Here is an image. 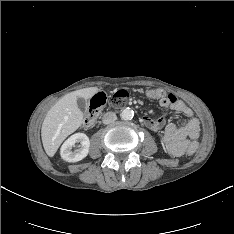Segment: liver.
Segmentation results:
<instances>
[{
    "instance_id": "liver-1",
    "label": "liver",
    "mask_w": 234,
    "mask_h": 234,
    "mask_svg": "<svg viewBox=\"0 0 234 234\" xmlns=\"http://www.w3.org/2000/svg\"><path fill=\"white\" fill-rule=\"evenodd\" d=\"M98 92L97 87L76 90L63 96L50 108L41 128L42 143L48 156L52 157L61 143L82 124L83 113L77 99H90Z\"/></svg>"
}]
</instances>
